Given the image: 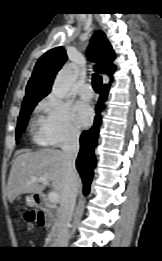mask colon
<instances>
[{"label":"colon","instance_id":"1","mask_svg":"<svg viewBox=\"0 0 162 261\" xmlns=\"http://www.w3.org/2000/svg\"><path fill=\"white\" fill-rule=\"evenodd\" d=\"M24 218H25L26 222L29 224L36 223L41 226L42 223L44 222L43 214L41 212L28 211L25 213Z\"/></svg>","mask_w":162,"mask_h":261}]
</instances>
